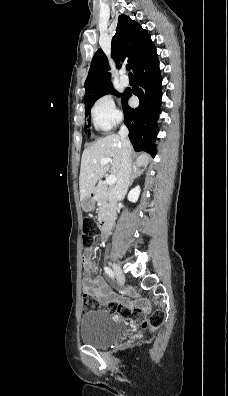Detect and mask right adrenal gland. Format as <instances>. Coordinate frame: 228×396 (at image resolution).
<instances>
[{
    "mask_svg": "<svg viewBox=\"0 0 228 396\" xmlns=\"http://www.w3.org/2000/svg\"><path fill=\"white\" fill-rule=\"evenodd\" d=\"M144 168H141L134 164L132 166V171H131V177H130V186L132 185L133 181L135 178L139 177L141 174H143Z\"/></svg>",
    "mask_w": 228,
    "mask_h": 396,
    "instance_id": "2a0ac1e0",
    "label": "right adrenal gland"
}]
</instances>
